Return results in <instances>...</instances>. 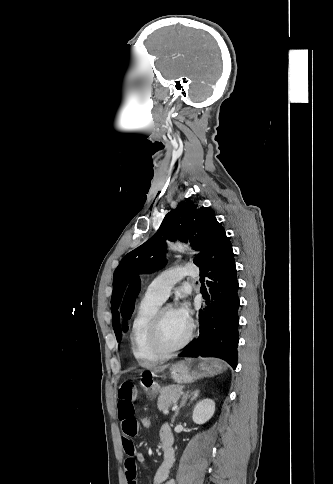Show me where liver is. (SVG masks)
Here are the masks:
<instances>
[{
  "label": "liver",
  "mask_w": 333,
  "mask_h": 484,
  "mask_svg": "<svg viewBox=\"0 0 333 484\" xmlns=\"http://www.w3.org/2000/svg\"><path fill=\"white\" fill-rule=\"evenodd\" d=\"M166 368H168V365L154 366L152 367V371L155 373H159V372H163Z\"/></svg>",
  "instance_id": "1"
}]
</instances>
